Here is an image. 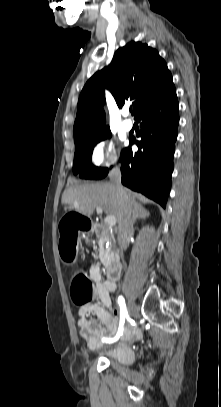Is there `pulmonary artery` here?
I'll return each instance as SVG.
<instances>
[{
    "label": "pulmonary artery",
    "instance_id": "pulmonary-artery-1",
    "mask_svg": "<svg viewBox=\"0 0 221 407\" xmlns=\"http://www.w3.org/2000/svg\"><path fill=\"white\" fill-rule=\"evenodd\" d=\"M124 116H125V119H124V121H123V123H122V127H123V129H124L125 131H130V130L133 128V122H132V120H130L129 118H127V116H128V111H125V112H124Z\"/></svg>",
    "mask_w": 221,
    "mask_h": 407
}]
</instances>
